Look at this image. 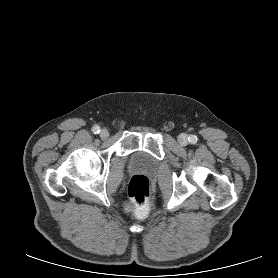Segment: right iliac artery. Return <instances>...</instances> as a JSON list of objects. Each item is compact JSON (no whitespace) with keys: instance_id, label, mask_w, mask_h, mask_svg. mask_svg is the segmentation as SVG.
<instances>
[{"instance_id":"82829eb1","label":"right iliac artery","mask_w":278,"mask_h":278,"mask_svg":"<svg viewBox=\"0 0 278 278\" xmlns=\"http://www.w3.org/2000/svg\"><path fill=\"white\" fill-rule=\"evenodd\" d=\"M92 131H93V133L98 134L100 132V127L99 126H94Z\"/></svg>"}]
</instances>
